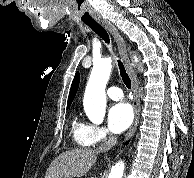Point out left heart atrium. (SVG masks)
<instances>
[{
  "mask_svg": "<svg viewBox=\"0 0 194 178\" xmlns=\"http://www.w3.org/2000/svg\"><path fill=\"white\" fill-rule=\"evenodd\" d=\"M133 110L127 103H117L108 112V125L112 132L125 131L133 121Z\"/></svg>",
  "mask_w": 194,
  "mask_h": 178,
  "instance_id": "39dd6f15",
  "label": "left heart atrium"
}]
</instances>
